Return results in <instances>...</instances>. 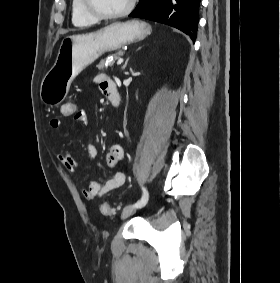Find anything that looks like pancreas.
<instances>
[{
  "label": "pancreas",
  "mask_w": 280,
  "mask_h": 283,
  "mask_svg": "<svg viewBox=\"0 0 280 283\" xmlns=\"http://www.w3.org/2000/svg\"><path fill=\"white\" fill-rule=\"evenodd\" d=\"M123 54V51H118L114 54L111 55V57L113 58H118L119 56H121ZM107 63V64H106ZM114 64V62H110V59L108 57L101 59V61L99 62V64L97 65V68L99 70H105L109 67H112Z\"/></svg>",
  "instance_id": "pancreas-1"
}]
</instances>
